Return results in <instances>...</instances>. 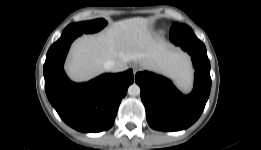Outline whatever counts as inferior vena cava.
<instances>
[{
  "label": "inferior vena cava",
  "mask_w": 261,
  "mask_h": 150,
  "mask_svg": "<svg viewBox=\"0 0 261 150\" xmlns=\"http://www.w3.org/2000/svg\"><path fill=\"white\" fill-rule=\"evenodd\" d=\"M105 67L112 72H122L128 68V65L124 60H109L105 63Z\"/></svg>",
  "instance_id": "1"
}]
</instances>
